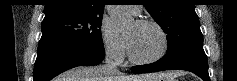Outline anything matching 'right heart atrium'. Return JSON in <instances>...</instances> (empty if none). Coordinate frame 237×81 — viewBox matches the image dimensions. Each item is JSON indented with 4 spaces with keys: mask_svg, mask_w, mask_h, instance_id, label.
<instances>
[{
    "mask_svg": "<svg viewBox=\"0 0 237 81\" xmlns=\"http://www.w3.org/2000/svg\"><path fill=\"white\" fill-rule=\"evenodd\" d=\"M101 40L108 57L115 61H121L124 58L126 49L124 38L116 31L109 20L102 22Z\"/></svg>",
    "mask_w": 237,
    "mask_h": 81,
    "instance_id": "1",
    "label": "right heart atrium"
}]
</instances>
